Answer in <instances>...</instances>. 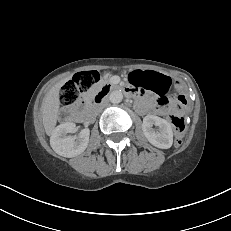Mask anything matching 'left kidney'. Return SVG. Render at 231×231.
Masks as SVG:
<instances>
[{
  "label": "left kidney",
  "mask_w": 231,
  "mask_h": 231,
  "mask_svg": "<svg viewBox=\"0 0 231 231\" xmlns=\"http://www.w3.org/2000/svg\"><path fill=\"white\" fill-rule=\"evenodd\" d=\"M153 125L159 128V131L153 129ZM142 130L147 140L155 147L168 149L173 144V131L171 124L155 115H147L143 118Z\"/></svg>",
  "instance_id": "left-kidney-1"
}]
</instances>
